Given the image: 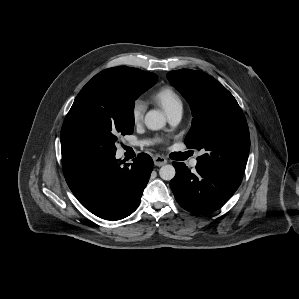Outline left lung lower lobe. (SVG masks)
<instances>
[{
    "instance_id": "left-lung-lower-lobe-1",
    "label": "left lung lower lobe",
    "mask_w": 299,
    "mask_h": 299,
    "mask_svg": "<svg viewBox=\"0 0 299 299\" xmlns=\"http://www.w3.org/2000/svg\"><path fill=\"white\" fill-rule=\"evenodd\" d=\"M175 177L170 181L173 194L185 210L208 214L222 207L238 189L243 176L197 163L191 172L184 163L173 162Z\"/></svg>"
}]
</instances>
